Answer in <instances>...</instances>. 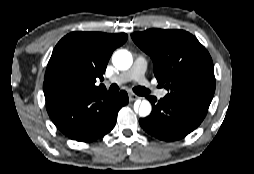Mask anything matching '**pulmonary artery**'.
<instances>
[{
  "label": "pulmonary artery",
  "mask_w": 254,
  "mask_h": 174,
  "mask_svg": "<svg viewBox=\"0 0 254 174\" xmlns=\"http://www.w3.org/2000/svg\"><path fill=\"white\" fill-rule=\"evenodd\" d=\"M146 67L147 63L145 58L143 56H138L135 59L133 66L129 70L120 73L118 76L113 78L112 81L118 84H122L133 80L138 82L146 89H152L149 81L145 77ZM166 94L167 91L164 89L158 90L156 92L158 98H163L166 96Z\"/></svg>",
  "instance_id": "obj_1"
}]
</instances>
